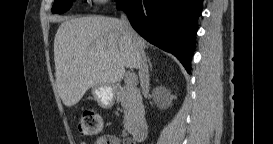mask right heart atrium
<instances>
[{
	"label": "right heart atrium",
	"instance_id": "right-heart-atrium-1",
	"mask_svg": "<svg viewBox=\"0 0 273 144\" xmlns=\"http://www.w3.org/2000/svg\"><path fill=\"white\" fill-rule=\"evenodd\" d=\"M95 2H96V4L99 5V6H105V5H108V4L111 3L110 0H96Z\"/></svg>",
	"mask_w": 273,
	"mask_h": 144
}]
</instances>
